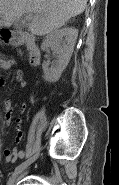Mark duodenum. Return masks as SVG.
Instances as JSON below:
<instances>
[{"label": "duodenum", "mask_w": 119, "mask_h": 185, "mask_svg": "<svg viewBox=\"0 0 119 185\" xmlns=\"http://www.w3.org/2000/svg\"><path fill=\"white\" fill-rule=\"evenodd\" d=\"M3 39L10 45H25L30 65L35 67L40 64L41 53L33 36L19 31L5 30Z\"/></svg>", "instance_id": "410a0bca"}]
</instances>
